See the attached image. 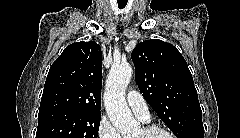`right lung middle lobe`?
I'll return each mask as SVG.
<instances>
[{
    "instance_id": "right-lung-middle-lobe-1",
    "label": "right lung middle lobe",
    "mask_w": 240,
    "mask_h": 138,
    "mask_svg": "<svg viewBox=\"0 0 240 138\" xmlns=\"http://www.w3.org/2000/svg\"><path fill=\"white\" fill-rule=\"evenodd\" d=\"M101 113L70 110L38 115L36 138H97Z\"/></svg>"
}]
</instances>
